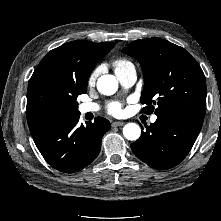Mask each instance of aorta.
I'll return each mask as SVG.
<instances>
[{
    "mask_svg": "<svg viewBox=\"0 0 221 221\" xmlns=\"http://www.w3.org/2000/svg\"><path fill=\"white\" fill-rule=\"evenodd\" d=\"M97 89L103 95H113L118 89V81L113 75H103L97 80ZM123 135L130 141L139 139L141 128L136 123H128L123 127Z\"/></svg>",
    "mask_w": 221,
    "mask_h": 221,
    "instance_id": "1",
    "label": "aorta"
}]
</instances>
